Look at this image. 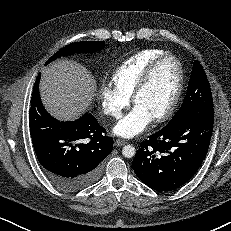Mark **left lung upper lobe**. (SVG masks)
I'll use <instances>...</instances> for the list:
<instances>
[{
    "label": "left lung upper lobe",
    "mask_w": 231,
    "mask_h": 231,
    "mask_svg": "<svg viewBox=\"0 0 231 231\" xmlns=\"http://www.w3.org/2000/svg\"><path fill=\"white\" fill-rule=\"evenodd\" d=\"M191 112L214 114L210 85L201 64L196 60L193 63L185 99L169 123Z\"/></svg>",
    "instance_id": "5c2ea615"
}]
</instances>
